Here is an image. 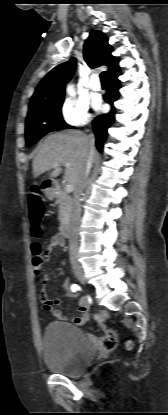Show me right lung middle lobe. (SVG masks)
Masks as SVG:
<instances>
[{"label": "right lung middle lobe", "instance_id": "obj_1", "mask_svg": "<svg viewBox=\"0 0 168 415\" xmlns=\"http://www.w3.org/2000/svg\"><path fill=\"white\" fill-rule=\"evenodd\" d=\"M64 99L29 110L26 119V146L30 147L49 132L68 129L62 118L61 107Z\"/></svg>", "mask_w": 168, "mask_h": 415}]
</instances>
